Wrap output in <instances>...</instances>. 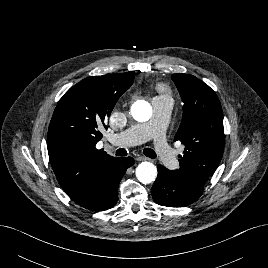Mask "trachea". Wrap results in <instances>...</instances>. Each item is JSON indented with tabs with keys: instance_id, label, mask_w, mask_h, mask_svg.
Wrapping results in <instances>:
<instances>
[{
	"instance_id": "trachea-1",
	"label": "trachea",
	"mask_w": 268,
	"mask_h": 268,
	"mask_svg": "<svg viewBox=\"0 0 268 268\" xmlns=\"http://www.w3.org/2000/svg\"><path fill=\"white\" fill-rule=\"evenodd\" d=\"M144 155H146L149 158L155 159L156 158V154L155 152L151 149V148H145L143 150ZM116 155L117 156H126L127 155V151L124 148H119L116 151Z\"/></svg>"
}]
</instances>
